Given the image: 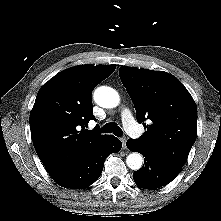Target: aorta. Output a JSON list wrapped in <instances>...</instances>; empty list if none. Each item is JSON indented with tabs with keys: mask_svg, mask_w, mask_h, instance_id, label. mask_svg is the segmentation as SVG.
Listing matches in <instances>:
<instances>
[{
	"mask_svg": "<svg viewBox=\"0 0 221 221\" xmlns=\"http://www.w3.org/2000/svg\"><path fill=\"white\" fill-rule=\"evenodd\" d=\"M95 102L103 108H114L120 102L118 92L107 86H100L94 92ZM143 157L139 153H131L126 158L127 166L132 170H139L142 167Z\"/></svg>",
	"mask_w": 221,
	"mask_h": 221,
	"instance_id": "obj_1",
	"label": "aorta"
}]
</instances>
